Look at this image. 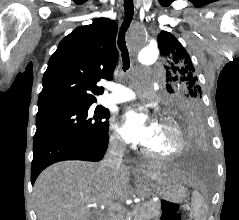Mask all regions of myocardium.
Instances as JSON below:
<instances>
[{"label":"myocardium","instance_id":"f54148a6","mask_svg":"<svg viewBox=\"0 0 239 220\" xmlns=\"http://www.w3.org/2000/svg\"><path fill=\"white\" fill-rule=\"evenodd\" d=\"M160 122L167 125L175 133L176 139H177V144H176L175 150L171 153H161V152L152 151L145 146H143L141 150H142L143 154H145L146 156L153 158V159H158V160L176 159V158L180 157L181 155H183V153L185 152V149H186V139H185L183 130L170 117L164 116L160 119Z\"/></svg>","mask_w":239,"mask_h":220}]
</instances>
